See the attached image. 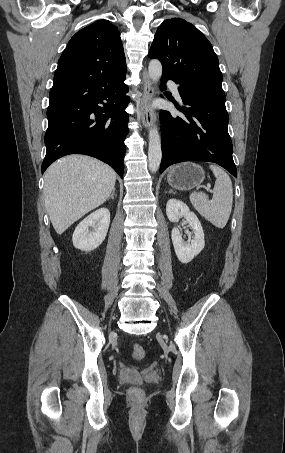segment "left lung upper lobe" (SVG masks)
I'll return each mask as SVG.
<instances>
[{
	"instance_id": "5c2ea615",
	"label": "left lung upper lobe",
	"mask_w": 285,
	"mask_h": 453,
	"mask_svg": "<svg viewBox=\"0 0 285 453\" xmlns=\"http://www.w3.org/2000/svg\"><path fill=\"white\" fill-rule=\"evenodd\" d=\"M148 56L157 58L163 74L189 92L225 102L218 58L207 38L181 18L163 21Z\"/></svg>"
}]
</instances>
